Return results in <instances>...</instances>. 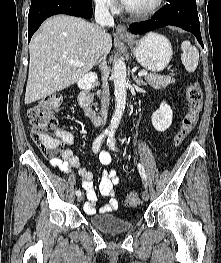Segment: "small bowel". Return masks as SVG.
<instances>
[{
    "instance_id": "obj_1",
    "label": "small bowel",
    "mask_w": 221,
    "mask_h": 263,
    "mask_svg": "<svg viewBox=\"0 0 221 263\" xmlns=\"http://www.w3.org/2000/svg\"><path fill=\"white\" fill-rule=\"evenodd\" d=\"M61 137L66 144V149L62 154L61 159H51L50 165L57 167L66 174H73L74 170H77V174L82 180V186L86 191L87 201L84 203V211L89 214H95V203L97 200L96 193L93 186V174L80 167L78 158L74 155L71 146L74 143V136L69 131L61 132ZM99 161L102 165L108 166L112 161V157L108 152H101L99 155ZM120 179L116 170L109 169L103 172L101 181L99 183V193L107 198L106 203L99 209L100 213H110L118 208V200L116 198L113 187L118 185Z\"/></svg>"
}]
</instances>
